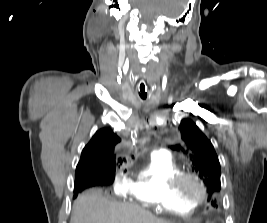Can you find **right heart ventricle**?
I'll use <instances>...</instances> for the list:
<instances>
[{"label":"right heart ventricle","mask_w":267,"mask_h":223,"mask_svg":"<svg viewBox=\"0 0 267 223\" xmlns=\"http://www.w3.org/2000/svg\"><path fill=\"white\" fill-rule=\"evenodd\" d=\"M181 172L182 168L172 157L154 154L148 164L128 180L124 195L135 205L190 214L196 205L183 201L171 191V180Z\"/></svg>","instance_id":"right-heart-ventricle-1"}]
</instances>
